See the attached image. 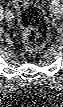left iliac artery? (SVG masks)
I'll return each mask as SVG.
<instances>
[{
    "label": "left iliac artery",
    "instance_id": "1",
    "mask_svg": "<svg viewBox=\"0 0 63 107\" xmlns=\"http://www.w3.org/2000/svg\"><path fill=\"white\" fill-rule=\"evenodd\" d=\"M59 4V0H53L52 1V5H58Z\"/></svg>",
    "mask_w": 63,
    "mask_h": 107
}]
</instances>
